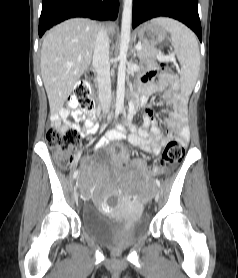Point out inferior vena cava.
I'll use <instances>...</instances> for the list:
<instances>
[{"instance_id": "obj_1", "label": "inferior vena cava", "mask_w": 238, "mask_h": 278, "mask_svg": "<svg viewBox=\"0 0 238 278\" xmlns=\"http://www.w3.org/2000/svg\"><path fill=\"white\" fill-rule=\"evenodd\" d=\"M92 64L97 74L100 106L103 113H108L112 95L109 62V37L105 28H101L98 31Z\"/></svg>"}]
</instances>
